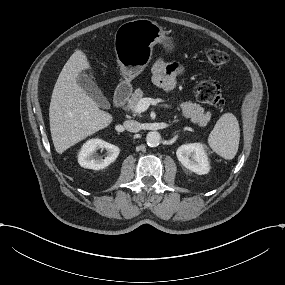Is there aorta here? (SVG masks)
I'll return each instance as SVG.
<instances>
[{
	"instance_id": "762f6f07",
	"label": "aorta",
	"mask_w": 285,
	"mask_h": 285,
	"mask_svg": "<svg viewBox=\"0 0 285 285\" xmlns=\"http://www.w3.org/2000/svg\"><path fill=\"white\" fill-rule=\"evenodd\" d=\"M146 142L149 146L156 147L161 142V135L157 131H151L146 136Z\"/></svg>"
}]
</instances>
